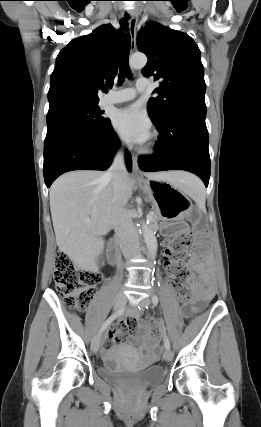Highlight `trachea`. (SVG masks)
<instances>
[{"instance_id":"3493384b","label":"trachea","mask_w":261,"mask_h":427,"mask_svg":"<svg viewBox=\"0 0 261 427\" xmlns=\"http://www.w3.org/2000/svg\"><path fill=\"white\" fill-rule=\"evenodd\" d=\"M127 17L128 15H126V18H123L120 23L121 25H125L127 22ZM129 53H130V39L129 37L126 38V42L124 45V49L122 52V56H121V60H120V64H119V84H121L125 77L131 78V71L129 68Z\"/></svg>"}]
</instances>
